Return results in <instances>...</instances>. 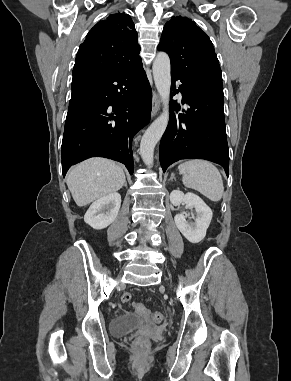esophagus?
<instances>
[{"instance_id":"obj_1","label":"esophagus","mask_w":291,"mask_h":381,"mask_svg":"<svg viewBox=\"0 0 291 381\" xmlns=\"http://www.w3.org/2000/svg\"><path fill=\"white\" fill-rule=\"evenodd\" d=\"M160 105H161L160 98L158 94L154 91L153 97H152V111H151L152 117H155L158 114L160 110Z\"/></svg>"}]
</instances>
